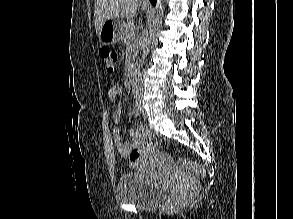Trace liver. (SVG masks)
<instances>
[{
    "instance_id": "1",
    "label": "liver",
    "mask_w": 293,
    "mask_h": 219,
    "mask_svg": "<svg viewBox=\"0 0 293 219\" xmlns=\"http://www.w3.org/2000/svg\"><path fill=\"white\" fill-rule=\"evenodd\" d=\"M139 0H95V30L97 35L108 19H129L135 16Z\"/></svg>"
}]
</instances>
